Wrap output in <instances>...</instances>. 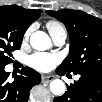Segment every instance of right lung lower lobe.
Returning <instances> with one entry per match:
<instances>
[{
	"label": "right lung lower lobe",
	"mask_w": 102,
	"mask_h": 102,
	"mask_svg": "<svg viewBox=\"0 0 102 102\" xmlns=\"http://www.w3.org/2000/svg\"><path fill=\"white\" fill-rule=\"evenodd\" d=\"M21 75H13L14 81L9 82V73L0 67V98L3 102H27L29 91L41 82V76L35 70L22 68Z\"/></svg>",
	"instance_id": "1"
}]
</instances>
